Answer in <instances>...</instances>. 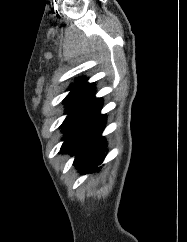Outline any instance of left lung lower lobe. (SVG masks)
Here are the masks:
<instances>
[{"instance_id":"left-lung-lower-lobe-1","label":"left lung lower lobe","mask_w":187,"mask_h":242,"mask_svg":"<svg viewBox=\"0 0 187 242\" xmlns=\"http://www.w3.org/2000/svg\"><path fill=\"white\" fill-rule=\"evenodd\" d=\"M106 123V116L98 120L89 128L70 149V154L75 156V168L83 175L95 173L99 170L107 151V144L102 131Z\"/></svg>"}]
</instances>
